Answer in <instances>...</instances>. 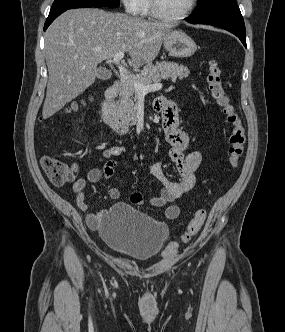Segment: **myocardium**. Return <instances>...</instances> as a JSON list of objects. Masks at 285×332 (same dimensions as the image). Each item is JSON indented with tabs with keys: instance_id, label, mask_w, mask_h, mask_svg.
<instances>
[{
	"instance_id": "obj_1",
	"label": "myocardium",
	"mask_w": 285,
	"mask_h": 332,
	"mask_svg": "<svg viewBox=\"0 0 285 332\" xmlns=\"http://www.w3.org/2000/svg\"><path fill=\"white\" fill-rule=\"evenodd\" d=\"M151 1V13L152 15L161 20V21H165V22H178L181 21L185 18H187L192 11L195 9L196 4H197V0H190V4L188 6V8L181 13L180 15L177 16H170L165 14L161 7H160V2L159 0H150Z\"/></svg>"
}]
</instances>
